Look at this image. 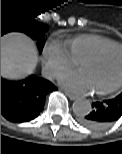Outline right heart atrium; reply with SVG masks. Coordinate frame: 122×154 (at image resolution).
Here are the masks:
<instances>
[{
  "instance_id": "d8ad5b80",
  "label": "right heart atrium",
  "mask_w": 122,
  "mask_h": 154,
  "mask_svg": "<svg viewBox=\"0 0 122 154\" xmlns=\"http://www.w3.org/2000/svg\"><path fill=\"white\" fill-rule=\"evenodd\" d=\"M43 62L45 72L49 77H55L77 64L65 42L58 39L51 40L45 45Z\"/></svg>"
}]
</instances>
